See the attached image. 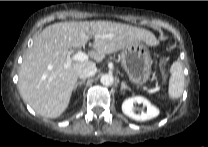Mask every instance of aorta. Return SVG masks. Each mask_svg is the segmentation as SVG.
<instances>
[{
	"instance_id": "762f6f07",
	"label": "aorta",
	"mask_w": 208,
	"mask_h": 147,
	"mask_svg": "<svg viewBox=\"0 0 208 147\" xmlns=\"http://www.w3.org/2000/svg\"><path fill=\"white\" fill-rule=\"evenodd\" d=\"M100 82L104 86H111L114 83V78L110 74H104L101 76Z\"/></svg>"
}]
</instances>
